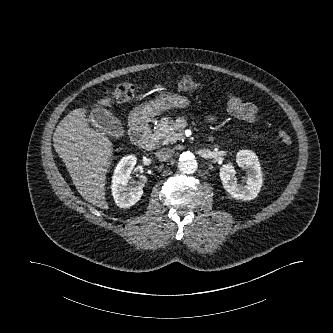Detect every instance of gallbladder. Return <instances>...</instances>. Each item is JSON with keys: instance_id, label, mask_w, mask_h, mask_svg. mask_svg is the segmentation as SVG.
<instances>
[{"instance_id": "obj_1", "label": "gallbladder", "mask_w": 333, "mask_h": 333, "mask_svg": "<svg viewBox=\"0 0 333 333\" xmlns=\"http://www.w3.org/2000/svg\"><path fill=\"white\" fill-rule=\"evenodd\" d=\"M91 119L93 126L105 135L120 138L124 135V128L121 122L104 108L92 110Z\"/></svg>"}]
</instances>
